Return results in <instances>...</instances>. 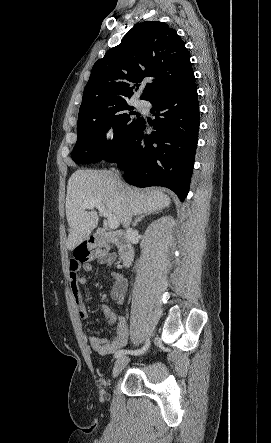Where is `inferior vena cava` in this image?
Instances as JSON below:
<instances>
[{
  "mask_svg": "<svg viewBox=\"0 0 271 443\" xmlns=\"http://www.w3.org/2000/svg\"><path fill=\"white\" fill-rule=\"evenodd\" d=\"M114 178L116 180L117 190H120V192H122V190H124V188H125L124 182H121L119 174H115ZM132 218H133L132 214H125L124 225H125V227H127V231H132L131 227H129ZM124 263H125V261H124ZM125 265H126V263H125Z\"/></svg>",
  "mask_w": 271,
  "mask_h": 443,
  "instance_id": "602c4592",
  "label": "inferior vena cava"
}]
</instances>
